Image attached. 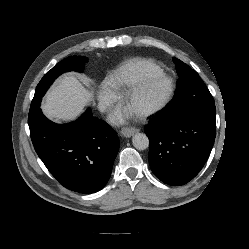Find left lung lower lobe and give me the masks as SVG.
I'll return each instance as SVG.
<instances>
[{"label": "left lung lower lobe", "mask_w": 249, "mask_h": 249, "mask_svg": "<svg viewBox=\"0 0 249 249\" xmlns=\"http://www.w3.org/2000/svg\"><path fill=\"white\" fill-rule=\"evenodd\" d=\"M215 109H196L175 117H153L144 131L149 138V164L169 185H183L206 163L216 136Z\"/></svg>", "instance_id": "0a47b994"}]
</instances>
